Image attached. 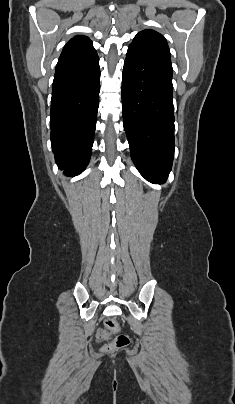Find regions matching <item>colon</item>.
<instances>
[{
    "mask_svg": "<svg viewBox=\"0 0 235 404\" xmlns=\"http://www.w3.org/2000/svg\"><path fill=\"white\" fill-rule=\"evenodd\" d=\"M105 326L107 328V331H100L98 333V339L100 341H108L110 339V334L117 332L120 328L119 323L112 318H108L105 321ZM129 342L130 339L128 335L118 334L107 344H105V350L108 352H113L128 346Z\"/></svg>",
    "mask_w": 235,
    "mask_h": 404,
    "instance_id": "1",
    "label": "colon"
}]
</instances>
